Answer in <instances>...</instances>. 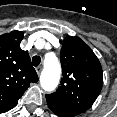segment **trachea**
Masks as SVG:
<instances>
[{
    "mask_svg": "<svg viewBox=\"0 0 117 117\" xmlns=\"http://www.w3.org/2000/svg\"><path fill=\"white\" fill-rule=\"evenodd\" d=\"M41 62L40 56H33L32 58V63L35 67H37Z\"/></svg>",
    "mask_w": 117,
    "mask_h": 117,
    "instance_id": "1",
    "label": "trachea"
}]
</instances>
